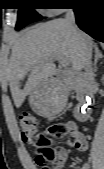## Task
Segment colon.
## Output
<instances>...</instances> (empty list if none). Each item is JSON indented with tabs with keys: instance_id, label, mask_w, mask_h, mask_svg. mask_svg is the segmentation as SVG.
Instances as JSON below:
<instances>
[{
	"instance_id": "colon-1",
	"label": "colon",
	"mask_w": 104,
	"mask_h": 169,
	"mask_svg": "<svg viewBox=\"0 0 104 169\" xmlns=\"http://www.w3.org/2000/svg\"><path fill=\"white\" fill-rule=\"evenodd\" d=\"M19 128L23 140L36 150L35 162L40 169H55L57 166L59 156L51 147L54 139L69 137L74 144V136L65 123L50 125L41 132L34 115L22 114L19 117Z\"/></svg>"
}]
</instances>
